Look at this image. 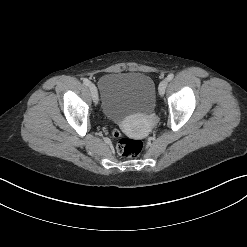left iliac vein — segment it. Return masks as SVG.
<instances>
[{
	"mask_svg": "<svg viewBox=\"0 0 247 247\" xmlns=\"http://www.w3.org/2000/svg\"><path fill=\"white\" fill-rule=\"evenodd\" d=\"M167 84H168V80H167V79H164V80H162V81L160 82L158 90H159V94H160L161 96L164 94L165 89H166V87H167Z\"/></svg>",
	"mask_w": 247,
	"mask_h": 247,
	"instance_id": "1",
	"label": "left iliac vein"
}]
</instances>
